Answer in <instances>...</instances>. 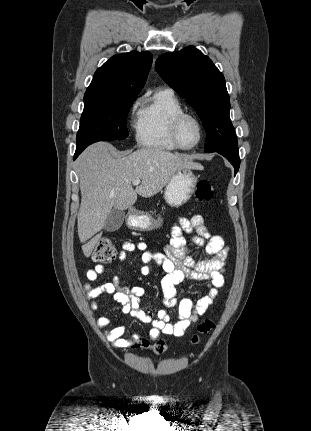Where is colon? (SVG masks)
Here are the masks:
<instances>
[{"instance_id": "obj_1", "label": "colon", "mask_w": 311, "mask_h": 431, "mask_svg": "<svg viewBox=\"0 0 311 431\" xmlns=\"http://www.w3.org/2000/svg\"><path fill=\"white\" fill-rule=\"evenodd\" d=\"M214 196V188L208 180L201 179L197 182L195 199L196 201L203 203L209 202ZM116 255V249L111 239L103 237L99 240L97 246L92 253V259L94 262L107 263L111 262ZM214 327V322L210 319L205 320L198 326V334L192 338L193 343H198L200 336L207 334ZM131 346L137 349H150L157 354H161L166 351L167 346L164 341L150 342L146 338L140 336L132 340Z\"/></svg>"}]
</instances>
